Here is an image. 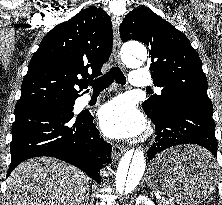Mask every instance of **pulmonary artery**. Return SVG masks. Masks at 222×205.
I'll return each instance as SVG.
<instances>
[{
    "instance_id": "1",
    "label": "pulmonary artery",
    "mask_w": 222,
    "mask_h": 205,
    "mask_svg": "<svg viewBox=\"0 0 222 205\" xmlns=\"http://www.w3.org/2000/svg\"><path fill=\"white\" fill-rule=\"evenodd\" d=\"M130 85L134 88L149 89L152 78L145 70H133L130 75ZM89 99V97H87Z\"/></svg>"
}]
</instances>
